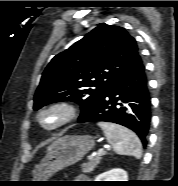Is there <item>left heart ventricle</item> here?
Segmentation results:
<instances>
[{"label":"left heart ventricle","mask_w":178,"mask_h":186,"mask_svg":"<svg viewBox=\"0 0 178 186\" xmlns=\"http://www.w3.org/2000/svg\"><path fill=\"white\" fill-rule=\"evenodd\" d=\"M60 116L61 115L59 112L53 111V112L43 115L42 122L47 126H51V125L55 124L60 119Z\"/></svg>","instance_id":"left-heart-ventricle-1"}]
</instances>
